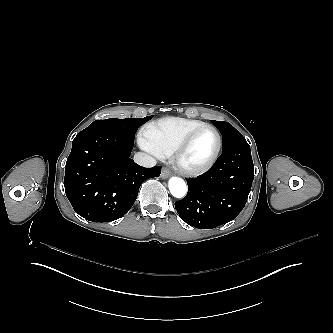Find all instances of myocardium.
Masks as SVG:
<instances>
[{"mask_svg":"<svg viewBox=\"0 0 333 333\" xmlns=\"http://www.w3.org/2000/svg\"><path fill=\"white\" fill-rule=\"evenodd\" d=\"M211 129L217 138V148L215 150V153L213 154V156L211 157V159L205 163L204 165L201 166H196V167H188V166H184L181 163V158L185 152V150L187 149L189 143L191 142V140L193 139V137L200 132L203 129ZM222 150V137L220 132L217 130L216 127H214L211 124H204L201 125L199 127H196L192 130H190L188 133H186L182 139L179 141V143L177 144V146L175 147L174 151L171 154V165L173 167V169L178 172L181 175H185V176H190V177H195V176H199L201 174H204L205 172L209 171L217 162L220 153Z\"/></svg>","mask_w":333,"mask_h":333,"instance_id":"f54148a6","label":"myocardium"}]
</instances>
